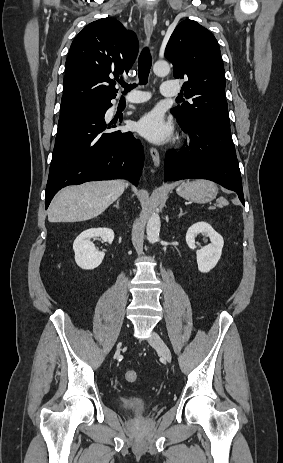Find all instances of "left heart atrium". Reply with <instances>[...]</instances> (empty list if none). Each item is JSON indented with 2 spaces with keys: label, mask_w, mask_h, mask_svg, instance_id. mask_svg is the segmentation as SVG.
<instances>
[{
  "label": "left heart atrium",
  "mask_w": 283,
  "mask_h": 463,
  "mask_svg": "<svg viewBox=\"0 0 283 463\" xmlns=\"http://www.w3.org/2000/svg\"><path fill=\"white\" fill-rule=\"evenodd\" d=\"M138 131L150 141L162 143L171 136V127L165 122L161 113L152 111L138 123Z\"/></svg>",
  "instance_id": "39dd6f15"
}]
</instances>
